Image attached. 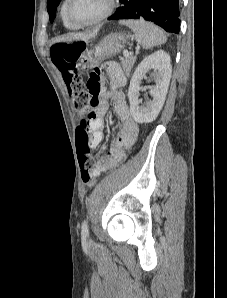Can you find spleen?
Wrapping results in <instances>:
<instances>
[{"label": "spleen", "mask_w": 227, "mask_h": 298, "mask_svg": "<svg viewBox=\"0 0 227 298\" xmlns=\"http://www.w3.org/2000/svg\"><path fill=\"white\" fill-rule=\"evenodd\" d=\"M120 23L128 26L135 33L136 41L145 49L164 44L167 41V37L160 28L143 19L123 20Z\"/></svg>", "instance_id": "obj_1"}]
</instances>
